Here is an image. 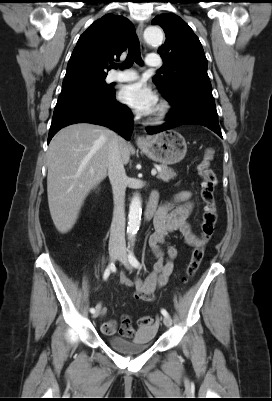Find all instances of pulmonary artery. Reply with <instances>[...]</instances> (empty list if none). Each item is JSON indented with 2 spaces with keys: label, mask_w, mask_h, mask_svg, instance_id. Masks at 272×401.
Wrapping results in <instances>:
<instances>
[{
  "label": "pulmonary artery",
  "mask_w": 272,
  "mask_h": 401,
  "mask_svg": "<svg viewBox=\"0 0 272 401\" xmlns=\"http://www.w3.org/2000/svg\"><path fill=\"white\" fill-rule=\"evenodd\" d=\"M146 63L150 67H160L161 59L157 55H150L146 59ZM138 77L137 73L131 70L114 71L107 76V82H130Z\"/></svg>",
  "instance_id": "1"
}]
</instances>
